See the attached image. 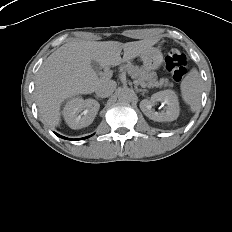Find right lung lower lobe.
Listing matches in <instances>:
<instances>
[{"label": "right lung lower lobe", "mask_w": 232, "mask_h": 232, "mask_svg": "<svg viewBox=\"0 0 232 232\" xmlns=\"http://www.w3.org/2000/svg\"><path fill=\"white\" fill-rule=\"evenodd\" d=\"M57 136H60V135H58L57 133H55ZM61 138H65V137H63V136H60ZM66 139V138H65ZM81 139H84V138H81Z\"/></svg>", "instance_id": "1"}]
</instances>
